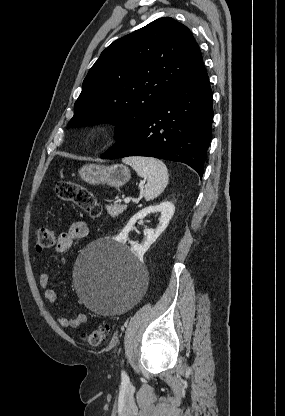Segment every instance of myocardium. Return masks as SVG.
I'll return each mask as SVG.
<instances>
[{
  "mask_svg": "<svg viewBox=\"0 0 285 416\" xmlns=\"http://www.w3.org/2000/svg\"><path fill=\"white\" fill-rule=\"evenodd\" d=\"M106 135L102 129L95 128L90 131L87 136V143L90 146L96 147L104 143Z\"/></svg>",
  "mask_w": 285,
  "mask_h": 416,
  "instance_id": "myocardium-1",
  "label": "myocardium"
}]
</instances>
